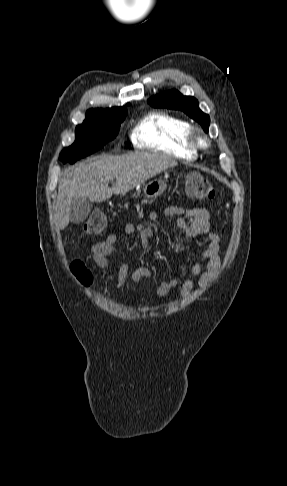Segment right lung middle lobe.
<instances>
[{"instance_id":"1","label":"right lung middle lobe","mask_w":287,"mask_h":486,"mask_svg":"<svg viewBox=\"0 0 287 486\" xmlns=\"http://www.w3.org/2000/svg\"><path fill=\"white\" fill-rule=\"evenodd\" d=\"M127 113L109 114L101 111H89L83 124L76 127V140L60 154L63 163L73 164L80 158L88 156L108 141L113 140Z\"/></svg>"}]
</instances>
